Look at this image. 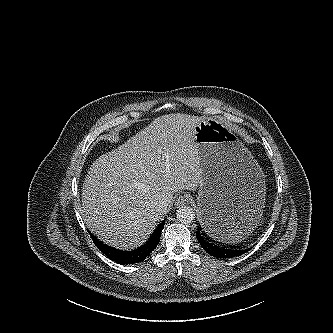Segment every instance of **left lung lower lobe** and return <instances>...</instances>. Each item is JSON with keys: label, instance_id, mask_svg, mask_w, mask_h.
Here are the masks:
<instances>
[{"label": "left lung lower lobe", "instance_id": "1", "mask_svg": "<svg viewBox=\"0 0 333 333\" xmlns=\"http://www.w3.org/2000/svg\"><path fill=\"white\" fill-rule=\"evenodd\" d=\"M240 224L236 222L231 217L226 216L222 212H220L218 209L212 208L211 210V219L207 222V227L204 229L206 233L211 234L213 238L222 241V237L226 233L229 232V230L237 228H240ZM198 242L200 243L201 247L210 255L216 257V258H233L240 256L246 252H248L251 248L240 250L234 246H219L215 243V241L209 240V238L205 237L203 233L198 229L196 233ZM218 243V242H217Z\"/></svg>", "mask_w": 333, "mask_h": 333}]
</instances>
